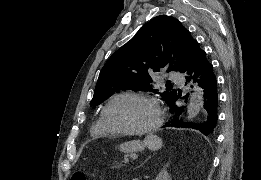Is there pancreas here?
I'll use <instances>...</instances> for the list:
<instances>
[{
	"label": "pancreas",
	"instance_id": "pancreas-1",
	"mask_svg": "<svg viewBox=\"0 0 261 180\" xmlns=\"http://www.w3.org/2000/svg\"><path fill=\"white\" fill-rule=\"evenodd\" d=\"M111 167H113V170H122L123 166L121 159H113V162H111Z\"/></svg>",
	"mask_w": 261,
	"mask_h": 180
}]
</instances>
